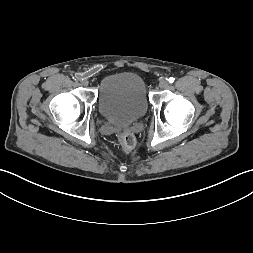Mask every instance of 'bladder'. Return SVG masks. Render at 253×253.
Masks as SVG:
<instances>
[{
    "mask_svg": "<svg viewBox=\"0 0 253 253\" xmlns=\"http://www.w3.org/2000/svg\"><path fill=\"white\" fill-rule=\"evenodd\" d=\"M101 116L116 124H129L143 117L149 106L144 80L137 74L122 72L105 77L98 88Z\"/></svg>",
    "mask_w": 253,
    "mask_h": 253,
    "instance_id": "1",
    "label": "bladder"
}]
</instances>
